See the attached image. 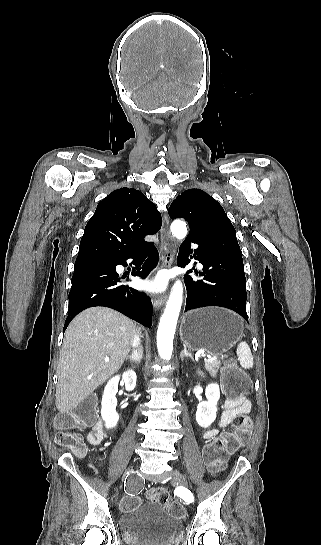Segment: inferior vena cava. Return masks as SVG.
I'll use <instances>...</instances> for the list:
<instances>
[{"label":"inferior vena cava","mask_w":321,"mask_h":545,"mask_svg":"<svg viewBox=\"0 0 321 545\" xmlns=\"http://www.w3.org/2000/svg\"><path fill=\"white\" fill-rule=\"evenodd\" d=\"M139 345H140L139 335H135L134 341H133V347H139Z\"/></svg>","instance_id":"inferior-vena-cava-1"}]
</instances>
